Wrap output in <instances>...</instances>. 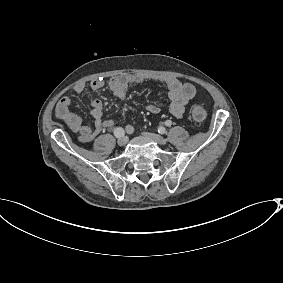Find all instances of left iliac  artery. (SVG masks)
Returning a JSON list of instances; mask_svg holds the SVG:
<instances>
[{
  "label": "left iliac artery",
  "instance_id": "left-iliac-artery-1",
  "mask_svg": "<svg viewBox=\"0 0 283 283\" xmlns=\"http://www.w3.org/2000/svg\"><path fill=\"white\" fill-rule=\"evenodd\" d=\"M165 125L167 127H170L172 125V122L170 120H167V121H165ZM158 132L161 133V134H164L165 133V128L164 127H159L158 128Z\"/></svg>",
  "mask_w": 283,
  "mask_h": 283
}]
</instances>
